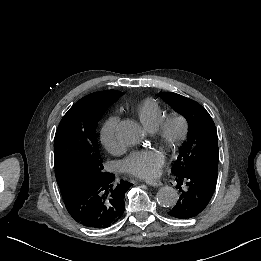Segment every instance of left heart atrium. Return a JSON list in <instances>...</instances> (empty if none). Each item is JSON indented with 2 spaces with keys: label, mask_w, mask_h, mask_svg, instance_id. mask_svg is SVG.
Instances as JSON below:
<instances>
[{
  "label": "left heart atrium",
  "mask_w": 261,
  "mask_h": 261,
  "mask_svg": "<svg viewBox=\"0 0 261 261\" xmlns=\"http://www.w3.org/2000/svg\"><path fill=\"white\" fill-rule=\"evenodd\" d=\"M164 165V155L154 148L133 151L119 163L122 171L144 179L157 177Z\"/></svg>",
  "instance_id": "obj_1"
}]
</instances>
